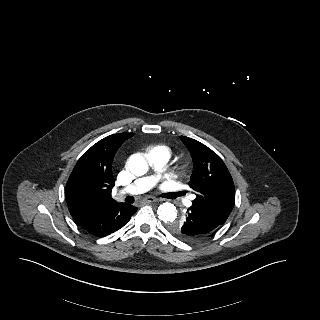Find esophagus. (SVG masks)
<instances>
[{"label": "esophagus", "instance_id": "esophagus-1", "mask_svg": "<svg viewBox=\"0 0 320 320\" xmlns=\"http://www.w3.org/2000/svg\"><path fill=\"white\" fill-rule=\"evenodd\" d=\"M156 201H157V199L155 197H152V196H149V197L144 199L145 203H153V202H156Z\"/></svg>", "mask_w": 320, "mask_h": 320}]
</instances>
